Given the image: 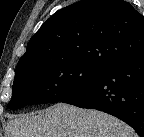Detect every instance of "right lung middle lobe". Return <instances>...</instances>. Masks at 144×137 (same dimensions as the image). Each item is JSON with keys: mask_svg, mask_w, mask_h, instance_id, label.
<instances>
[{"mask_svg": "<svg viewBox=\"0 0 144 137\" xmlns=\"http://www.w3.org/2000/svg\"><path fill=\"white\" fill-rule=\"evenodd\" d=\"M107 69L79 60H59L16 68L8 108L62 101L101 77Z\"/></svg>", "mask_w": 144, "mask_h": 137, "instance_id": "dd1d6c3e", "label": "right lung middle lobe"}]
</instances>
